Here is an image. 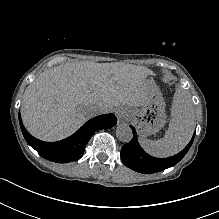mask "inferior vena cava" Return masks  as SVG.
<instances>
[{
  "instance_id": "obj_1",
  "label": "inferior vena cava",
  "mask_w": 219,
  "mask_h": 219,
  "mask_svg": "<svg viewBox=\"0 0 219 219\" xmlns=\"http://www.w3.org/2000/svg\"><path fill=\"white\" fill-rule=\"evenodd\" d=\"M90 111L92 112V115L97 118L103 117L105 113H108L106 112L105 106L100 103L91 105Z\"/></svg>"
}]
</instances>
